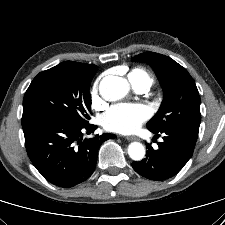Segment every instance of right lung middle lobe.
Returning a JSON list of instances; mask_svg holds the SVG:
<instances>
[{
  "label": "right lung middle lobe",
  "mask_w": 225,
  "mask_h": 225,
  "mask_svg": "<svg viewBox=\"0 0 225 225\" xmlns=\"http://www.w3.org/2000/svg\"><path fill=\"white\" fill-rule=\"evenodd\" d=\"M96 70V65L65 61L40 72L24 95L23 116L41 113L75 125L87 124L89 87Z\"/></svg>",
  "instance_id": "1"
}]
</instances>
